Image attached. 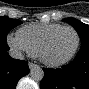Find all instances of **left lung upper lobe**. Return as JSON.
I'll use <instances>...</instances> for the list:
<instances>
[{
	"label": "left lung upper lobe",
	"mask_w": 89,
	"mask_h": 89,
	"mask_svg": "<svg viewBox=\"0 0 89 89\" xmlns=\"http://www.w3.org/2000/svg\"><path fill=\"white\" fill-rule=\"evenodd\" d=\"M63 21L72 25V27L77 31L81 39V44L89 43V25L74 18H66L63 19Z\"/></svg>",
	"instance_id": "1"
}]
</instances>
